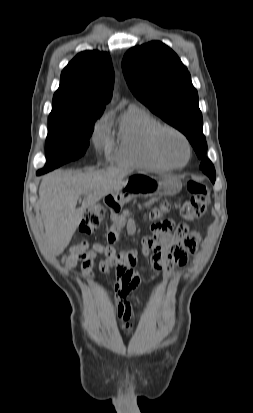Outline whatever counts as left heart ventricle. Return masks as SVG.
<instances>
[{
  "label": "left heart ventricle",
  "mask_w": 253,
  "mask_h": 413,
  "mask_svg": "<svg viewBox=\"0 0 253 413\" xmlns=\"http://www.w3.org/2000/svg\"><path fill=\"white\" fill-rule=\"evenodd\" d=\"M161 146L166 156L174 163H184L187 150L183 141L175 134L166 132L161 137Z\"/></svg>",
  "instance_id": "1"
}]
</instances>
